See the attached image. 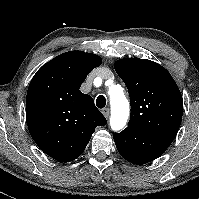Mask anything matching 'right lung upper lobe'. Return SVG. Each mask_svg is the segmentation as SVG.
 I'll return each instance as SVG.
<instances>
[{
    "label": "right lung upper lobe",
    "instance_id": "obj_1",
    "mask_svg": "<svg viewBox=\"0 0 199 199\" xmlns=\"http://www.w3.org/2000/svg\"><path fill=\"white\" fill-rule=\"evenodd\" d=\"M102 59L83 51L63 53L44 64L32 78L26 98V121L38 147L60 162L85 150L97 126L107 120L91 96L79 88Z\"/></svg>",
    "mask_w": 199,
    "mask_h": 199
}]
</instances>
